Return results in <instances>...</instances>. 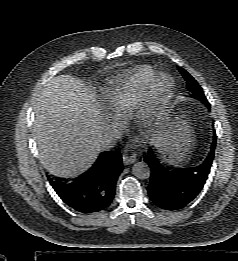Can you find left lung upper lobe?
Wrapping results in <instances>:
<instances>
[{
	"instance_id": "5c2ea615",
	"label": "left lung upper lobe",
	"mask_w": 238,
	"mask_h": 261,
	"mask_svg": "<svg viewBox=\"0 0 238 261\" xmlns=\"http://www.w3.org/2000/svg\"><path fill=\"white\" fill-rule=\"evenodd\" d=\"M184 79L186 80V86L189 91H191L196 97L202 99L206 103V97L201 86L197 83V81L183 68H178Z\"/></svg>"
}]
</instances>
